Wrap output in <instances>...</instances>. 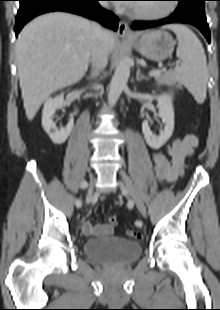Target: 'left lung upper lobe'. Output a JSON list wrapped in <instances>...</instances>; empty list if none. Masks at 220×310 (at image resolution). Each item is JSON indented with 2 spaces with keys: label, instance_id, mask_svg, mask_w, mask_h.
<instances>
[{
  "label": "left lung upper lobe",
  "instance_id": "1",
  "mask_svg": "<svg viewBox=\"0 0 220 310\" xmlns=\"http://www.w3.org/2000/svg\"><path fill=\"white\" fill-rule=\"evenodd\" d=\"M179 1L178 8L181 10L195 9L204 12L205 0H177Z\"/></svg>",
  "mask_w": 220,
  "mask_h": 310
}]
</instances>
